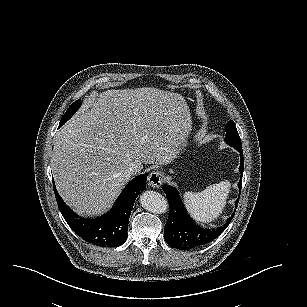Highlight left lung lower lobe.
<instances>
[{
  "label": "left lung lower lobe",
  "mask_w": 307,
  "mask_h": 307,
  "mask_svg": "<svg viewBox=\"0 0 307 307\" xmlns=\"http://www.w3.org/2000/svg\"><path fill=\"white\" fill-rule=\"evenodd\" d=\"M238 151L241 156L239 167L241 178L238 187L241 191L244 162L242 149H239ZM163 190L170 206L168 221L164 227V238L167 244L172 248L189 250L206 245L216 239L226 229L234 217L233 213L227 222L217 229H203L196 225L194 220L188 215L175 188L164 185ZM238 200L239 198L235 202L236 207Z\"/></svg>",
  "instance_id": "0a47b994"
}]
</instances>
